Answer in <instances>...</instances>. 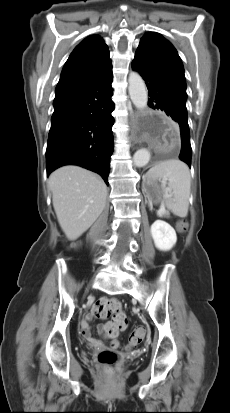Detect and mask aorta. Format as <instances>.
<instances>
[{
  "label": "aorta",
  "mask_w": 230,
  "mask_h": 413,
  "mask_svg": "<svg viewBox=\"0 0 230 413\" xmlns=\"http://www.w3.org/2000/svg\"><path fill=\"white\" fill-rule=\"evenodd\" d=\"M128 91L134 106L142 110L147 107L148 92L144 80L137 72H131L128 78ZM150 160V152L142 148L135 152L133 156V163L137 167H143L148 164Z\"/></svg>",
  "instance_id": "obj_1"
}]
</instances>
